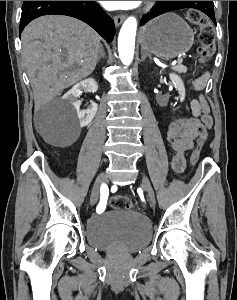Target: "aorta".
Here are the masks:
<instances>
[{
  "label": "aorta",
  "instance_id": "1",
  "mask_svg": "<svg viewBox=\"0 0 237 300\" xmlns=\"http://www.w3.org/2000/svg\"><path fill=\"white\" fill-rule=\"evenodd\" d=\"M136 31L137 21L135 17H128L122 25L118 37L119 57L123 65H127V67L133 61Z\"/></svg>",
  "mask_w": 237,
  "mask_h": 300
}]
</instances>
